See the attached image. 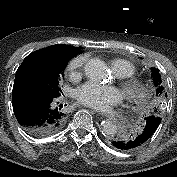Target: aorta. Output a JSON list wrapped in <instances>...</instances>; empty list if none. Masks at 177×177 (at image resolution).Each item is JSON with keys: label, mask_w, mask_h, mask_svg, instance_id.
<instances>
[{"label": "aorta", "mask_w": 177, "mask_h": 177, "mask_svg": "<svg viewBox=\"0 0 177 177\" xmlns=\"http://www.w3.org/2000/svg\"><path fill=\"white\" fill-rule=\"evenodd\" d=\"M86 76L92 81H102L108 77V69L105 62L99 58L89 59L84 66ZM117 132V126L112 121H104L102 134L106 137H113Z\"/></svg>", "instance_id": "obj_1"}]
</instances>
